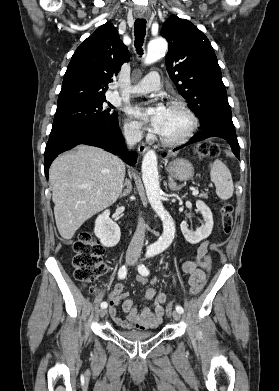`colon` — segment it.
I'll return each instance as SVG.
<instances>
[{
    "instance_id": "1",
    "label": "colon",
    "mask_w": 279,
    "mask_h": 391,
    "mask_svg": "<svg viewBox=\"0 0 279 391\" xmlns=\"http://www.w3.org/2000/svg\"><path fill=\"white\" fill-rule=\"evenodd\" d=\"M196 151L200 158H213L220 154V147L213 142H204L196 147ZM233 207L230 203L224 202L220 208L221 221L224 233L231 232L233 225ZM74 256L72 264L74 268L75 279L83 286L92 287L98 276L106 270V264L102 260L104 247L94 237L91 231H83L73 245ZM204 260L211 267V257L206 254ZM205 281L198 282L192 285L189 289L190 295L198 294ZM173 311V303H169L166 307V314L171 315Z\"/></svg>"
}]
</instances>
